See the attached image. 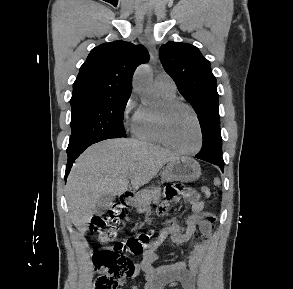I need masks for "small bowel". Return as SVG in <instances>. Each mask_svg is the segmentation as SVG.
I'll use <instances>...</instances> for the list:
<instances>
[{
	"instance_id": "small-bowel-1",
	"label": "small bowel",
	"mask_w": 293,
	"mask_h": 289,
	"mask_svg": "<svg viewBox=\"0 0 293 289\" xmlns=\"http://www.w3.org/2000/svg\"><path fill=\"white\" fill-rule=\"evenodd\" d=\"M186 200L191 205L192 214L188 217L185 226L174 221L167 225L160 233L154 247L164 239L169 238L175 244H185L191 240L197 227L200 228L201 240L194 243L186 257L176 263L155 266L160 258L154 248L149 249L139 264V271L145 279V289H167L181 286L183 289H196V278L199 265L206 253V240L211 236L213 229V215L204 212V202L195 192H187ZM133 289H137L133 287Z\"/></svg>"
}]
</instances>
